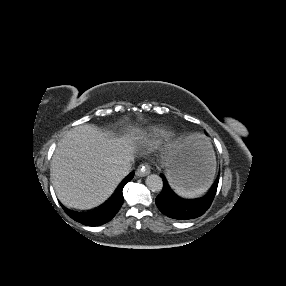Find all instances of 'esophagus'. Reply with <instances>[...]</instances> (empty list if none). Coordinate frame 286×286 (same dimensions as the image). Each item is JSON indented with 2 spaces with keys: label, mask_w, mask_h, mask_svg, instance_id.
<instances>
[{
  "label": "esophagus",
  "mask_w": 286,
  "mask_h": 286,
  "mask_svg": "<svg viewBox=\"0 0 286 286\" xmlns=\"http://www.w3.org/2000/svg\"><path fill=\"white\" fill-rule=\"evenodd\" d=\"M150 172H151L150 165L148 163H145L137 169L136 175L138 177H144V176L148 175Z\"/></svg>",
  "instance_id": "esophagus-1"
}]
</instances>
